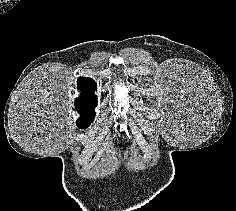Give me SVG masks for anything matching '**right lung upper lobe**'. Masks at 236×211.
<instances>
[{
	"instance_id": "obj_1",
	"label": "right lung upper lobe",
	"mask_w": 236,
	"mask_h": 211,
	"mask_svg": "<svg viewBox=\"0 0 236 211\" xmlns=\"http://www.w3.org/2000/svg\"><path fill=\"white\" fill-rule=\"evenodd\" d=\"M78 89L82 90V96L76 99L75 107L80 114L93 115L97 98L93 95L96 90V82L88 77H80L78 80Z\"/></svg>"
}]
</instances>
